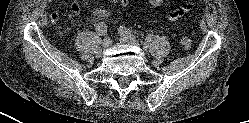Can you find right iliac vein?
Here are the masks:
<instances>
[{"label":"right iliac vein","mask_w":249,"mask_h":123,"mask_svg":"<svg viewBox=\"0 0 249 123\" xmlns=\"http://www.w3.org/2000/svg\"><path fill=\"white\" fill-rule=\"evenodd\" d=\"M111 39L110 38H105L103 41H102V47L103 48H109L111 46Z\"/></svg>","instance_id":"63e3f726"}]
</instances>
